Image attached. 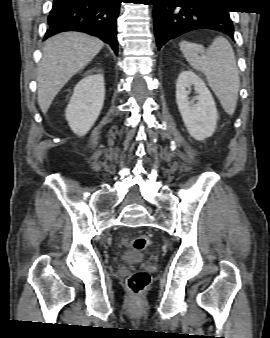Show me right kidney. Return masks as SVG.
Wrapping results in <instances>:
<instances>
[{"label":"right kidney","instance_id":"obj_1","mask_svg":"<svg viewBox=\"0 0 270 338\" xmlns=\"http://www.w3.org/2000/svg\"><path fill=\"white\" fill-rule=\"evenodd\" d=\"M104 77L88 75L77 83L66 108L65 115L71 130L85 135L97 120L104 103Z\"/></svg>","mask_w":270,"mask_h":338}]
</instances>
